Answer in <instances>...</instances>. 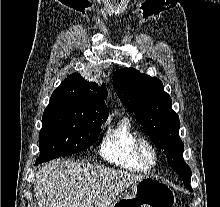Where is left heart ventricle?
<instances>
[{
    "label": "left heart ventricle",
    "instance_id": "left-heart-ventricle-1",
    "mask_svg": "<svg viewBox=\"0 0 220 207\" xmlns=\"http://www.w3.org/2000/svg\"><path fill=\"white\" fill-rule=\"evenodd\" d=\"M147 156L150 158V153L149 152H146Z\"/></svg>",
    "mask_w": 220,
    "mask_h": 207
}]
</instances>
